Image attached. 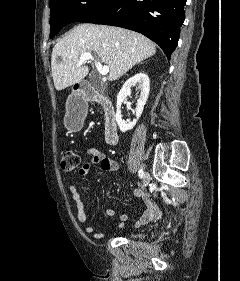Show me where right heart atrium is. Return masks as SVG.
Listing matches in <instances>:
<instances>
[{
	"instance_id": "obj_1",
	"label": "right heart atrium",
	"mask_w": 240,
	"mask_h": 281,
	"mask_svg": "<svg viewBox=\"0 0 240 281\" xmlns=\"http://www.w3.org/2000/svg\"><path fill=\"white\" fill-rule=\"evenodd\" d=\"M98 2H99V0H87V1H86V3H87L88 5H94V4L98 3Z\"/></svg>"
}]
</instances>
